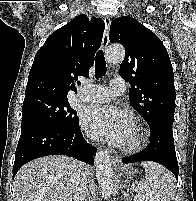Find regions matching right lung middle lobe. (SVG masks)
Returning a JSON list of instances; mask_svg holds the SVG:
<instances>
[{"label": "right lung middle lobe", "mask_w": 196, "mask_h": 201, "mask_svg": "<svg viewBox=\"0 0 196 201\" xmlns=\"http://www.w3.org/2000/svg\"><path fill=\"white\" fill-rule=\"evenodd\" d=\"M79 122L67 98L36 96L24 99L22 107V125L43 124L71 129Z\"/></svg>", "instance_id": "1"}]
</instances>
